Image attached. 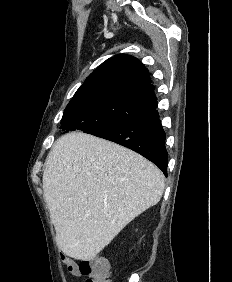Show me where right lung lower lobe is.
Returning <instances> with one entry per match:
<instances>
[{
  "label": "right lung lower lobe",
  "mask_w": 232,
  "mask_h": 282,
  "mask_svg": "<svg viewBox=\"0 0 232 282\" xmlns=\"http://www.w3.org/2000/svg\"><path fill=\"white\" fill-rule=\"evenodd\" d=\"M89 134L138 152L155 163L167 176L166 136L156 108L146 116L111 128H98L89 132Z\"/></svg>",
  "instance_id": "obj_1"
}]
</instances>
